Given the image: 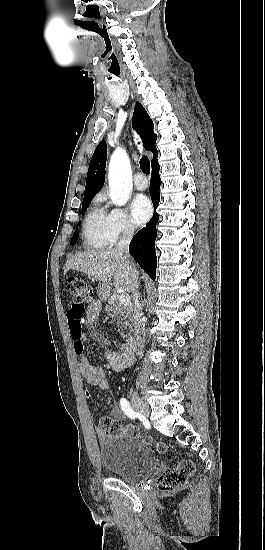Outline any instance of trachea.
<instances>
[{"instance_id": "trachea-1", "label": "trachea", "mask_w": 265, "mask_h": 550, "mask_svg": "<svg viewBox=\"0 0 265 550\" xmlns=\"http://www.w3.org/2000/svg\"><path fill=\"white\" fill-rule=\"evenodd\" d=\"M140 168L146 175L150 173V162L147 157H142L140 160Z\"/></svg>"}]
</instances>
